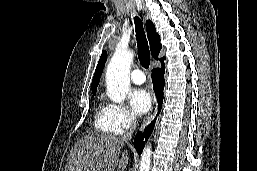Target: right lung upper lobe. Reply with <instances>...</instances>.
Masks as SVG:
<instances>
[{"label": "right lung upper lobe", "mask_w": 257, "mask_h": 171, "mask_svg": "<svg viewBox=\"0 0 257 171\" xmlns=\"http://www.w3.org/2000/svg\"><path fill=\"white\" fill-rule=\"evenodd\" d=\"M146 31H147V36L150 43L152 56L156 60H158V54L162 48V45L160 44V36L158 33H156L155 26L150 20L146 22ZM106 59H107V53L106 51H104L99 59V62L96 67L95 74L92 80L91 89L93 94H96V89L99 84L100 76L105 66ZM164 59L165 57L160 59L161 63H163Z\"/></svg>", "instance_id": "obj_1"}]
</instances>
